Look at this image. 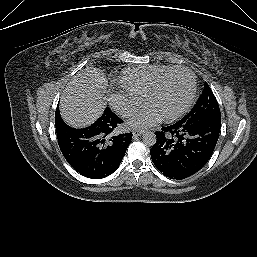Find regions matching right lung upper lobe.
Instances as JSON below:
<instances>
[{"label":"right lung upper lobe","mask_w":257,"mask_h":257,"mask_svg":"<svg viewBox=\"0 0 257 257\" xmlns=\"http://www.w3.org/2000/svg\"><path fill=\"white\" fill-rule=\"evenodd\" d=\"M55 124H57L58 126L64 125V121L62 120V118L60 116L59 109H57L56 114H55Z\"/></svg>","instance_id":"obj_1"}]
</instances>
